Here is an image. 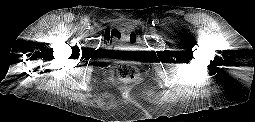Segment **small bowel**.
Listing matches in <instances>:
<instances>
[{
	"label": "small bowel",
	"mask_w": 255,
	"mask_h": 122,
	"mask_svg": "<svg viewBox=\"0 0 255 122\" xmlns=\"http://www.w3.org/2000/svg\"><path fill=\"white\" fill-rule=\"evenodd\" d=\"M105 42L108 44V43H111V42H114L113 39H111V36L110 34H106L105 36Z\"/></svg>",
	"instance_id": "obj_1"
}]
</instances>
